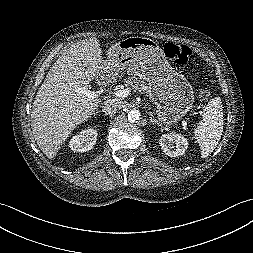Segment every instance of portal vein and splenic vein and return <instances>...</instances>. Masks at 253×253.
<instances>
[{"instance_id": "portal-vein-and-splenic-vein-1", "label": "portal vein and splenic vein", "mask_w": 253, "mask_h": 253, "mask_svg": "<svg viewBox=\"0 0 253 253\" xmlns=\"http://www.w3.org/2000/svg\"><path fill=\"white\" fill-rule=\"evenodd\" d=\"M81 93L85 94L88 98L94 99L99 97L101 94L100 91H93L89 89H78ZM114 96L119 97V98H125L130 94L129 89H120L112 93ZM183 127H186L187 123L185 121L182 122Z\"/></svg>"}]
</instances>
